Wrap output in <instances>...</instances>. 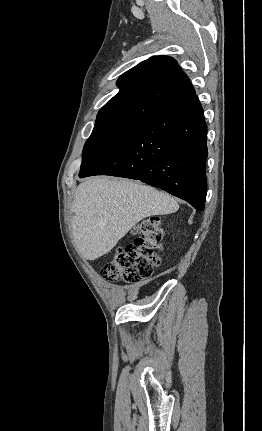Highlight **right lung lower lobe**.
<instances>
[{
  "instance_id": "obj_1",
  "label": "right lung lower lobe",
  "mask_w": 262,
  "mask_h": 431,
  "mask_svg": "<svg viewBox=\"0 0 262 431\" xmlns=\"http://www.w3.org/2000/svg\"><path fill=\"white\" fill-rule=\"evenodd\" d=\"M207 126L197 96L133 125L80 177L140 180L204 210Z\"/></svg>"
}]
</instances>
